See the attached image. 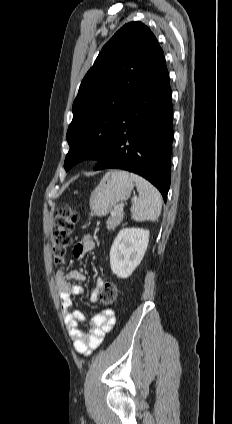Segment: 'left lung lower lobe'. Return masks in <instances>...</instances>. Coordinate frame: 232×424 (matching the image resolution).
<instances>
[{
    "instance_id": "0a47b994",
    "label": "left lung lower lobe",
    "mask_w": 232,
    "mask_h": 424,
    "mask_svg": "<svg viewBox=\"0 0 232 424\" xmlns=\"http://www.w3.org/2000/svg\"><path fill=\"white\" fill-rule=\"evenodd\" d=\"M172 122V94L163 58L127 104L94 170L118 168L139 174L156 186L166 201Z\"/></svg>"
}]
</instances>
